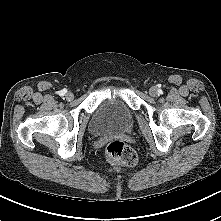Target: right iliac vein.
I'll return each instance as SVG.
<instances>
[{"mask_svg": "<svg viewBox=\"0 0 221 221\" xmlns=\"http://www.w3.org/2000/svg\"><path fill=\"white\" fill-rule=\"evenodd\" d=\"M65 97H66V99H67V100H69V101H70V100H72V99H73L74 95H73V93H72V92H67V93H66V95H65Z\"/></svg>", "mask_w": 221, "mask_h": 221, "instance_id": "obj_1", "label": "right iliac vein"}]
</instances>
